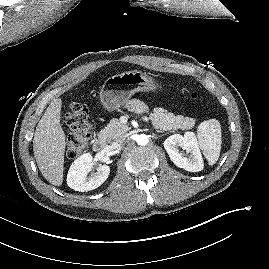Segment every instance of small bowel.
I'll use <instances>...</instances> for the list:
<instances>
[{"label":"small bowel","mask_w":269,"mask_h":269,"mask_svg":"<svg viewBox=\"0 0 269 269\" xmlns=\"http://www.w3.org/2000/svg\"><path fill=\"white\" fill-rule=\"evenodd\" d=\"M128 107L135 112H143L145 110V104L140 100H131Z\"/></svg>","instance_id":"c3829d8e"}]
</instances>
